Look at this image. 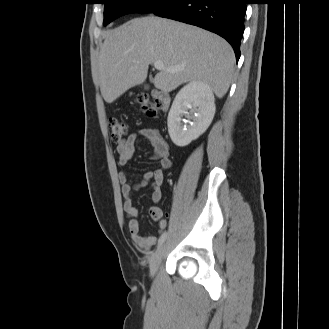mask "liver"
Masks as SVG:
<instances>
[{
	"label": "liver",
	"mask_w": 329,
	"mask_h": 329,
	"mask_svg": "<svg viewBox=\"0 0 329 329\" xmlns=\"http://www.w3.org/2000/svg\"><path fill=\"white\" fill-rule=\"evenodd\" d=\"M155 61L165 66L155 76L156 88L170 92L199 81L222 98L232 80L235 55L227 41L199 27L152 15L134 18L105 35L99 63L104 100L112 103L142 84Z\"/></svg>",
	"instance_id": "1"
}]
</instances>
